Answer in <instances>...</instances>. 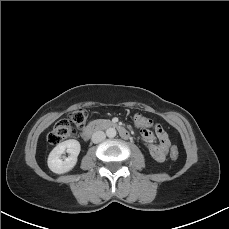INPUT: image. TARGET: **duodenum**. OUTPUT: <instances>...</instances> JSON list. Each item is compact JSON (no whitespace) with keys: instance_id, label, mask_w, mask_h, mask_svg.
Masks as SVG:
<instances>
[{"instance_id":"obj_1","label":"duodenum","mask_w":229,"mask_h":229,"mask_svg":"<svg viewBox=\"0 0 229 229\" xmlns=\"http://www.w3.org/2000/svg\"><path fill=\"white\" fill-rule=\"evenodd\" d=\"M103 128H113V129H117L120 133V135L124 138V139H129L130 135L128 133V131L126 130L125 127L115 123V122H111V121H95L90 123L86 129L84 130V136L86 138H89L92 134H94L95 132L103 129Z\"/></svg>"}]
</instances>
